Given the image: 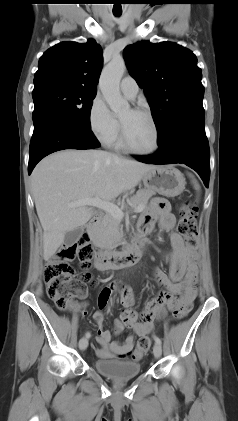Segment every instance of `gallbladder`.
Masks as SVG:
<instances>
[{"label": "gallbladder", "instance_id": "1", "mask_svg": "<svg viewBox=\"0 0 238 421\" xmlns=\"http://www.w3.org/2000/svg\"><path fill=\"white\" fill-rule=\"evenodd\" d=\"M83 234V228L78 227L72 231H69L65 234L64 242L67 246H72L74 243L78 241V239Z\"/></svg>", "mask_w": 238, "mask_h": 421}]
</instances>
